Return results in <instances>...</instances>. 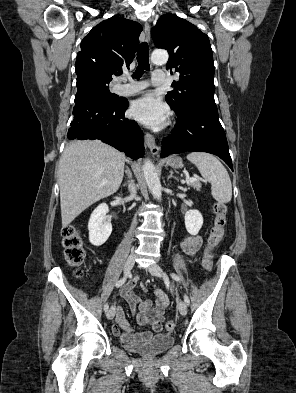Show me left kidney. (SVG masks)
<instances>
[{"mask_svg": "<svg viewBox=\"0 0 296 393\" xmlns=\"http://www.w3.org/2000/svg\"><path fill=\"white\" fill-rule=\"evenodd\" d=\"M203 225L202 214L198 210H189L185 214V227L189 234L197 235Z\"/></svg>", "mask_w": 296, "mask_h": 393, "instance_id": "1", "label": "left kidney"}]
</instances>
